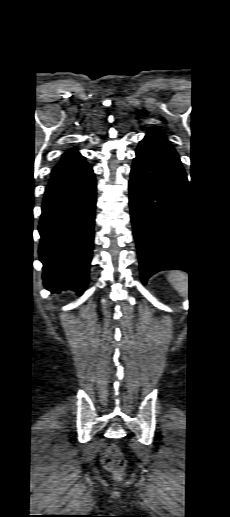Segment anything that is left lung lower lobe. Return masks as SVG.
<instances>
[{"mask_svg":"<svg viewBox=\"0 0 230 517\" xmlns=\"http://www.w3.org/2000/svg\"><path fill=\"white\" fill-rule=\"evenodd\" d=\"M129 183L130 210L143 283L158 271H191L187 255V176L166 141L144 138Z\"/></svg>","mask_w":230,"mask_h":517,"instance_id":"0a47b994","label":"left lung lower lobe"}]
</instances>
